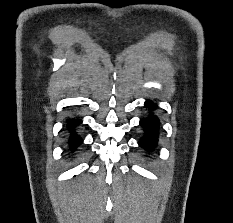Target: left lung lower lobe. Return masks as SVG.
Listing matches in <instances>:
<instances>
[{
    "label": "left lung lower lobe",
    "instance_id": "obj_1",
    "mask_svg": "<svg viewBox=\"0 0 233 223\" xmlns=\"http://www.w3.org/2000/svg\"><path fill=\"white\" fill-rule=\"evenodd\" d=\"M146 107L149 109H155L156 106L151 101H146ZM140 125L145 130V136L140 140L139 145L142 148H145L149 151L153 150L157 143L158 137V128H159V120L154 115H149L148 118L142 120Z\"/></svg>",
    "mask_w": 233,
    "mask_h": 223
}]
</instances>
